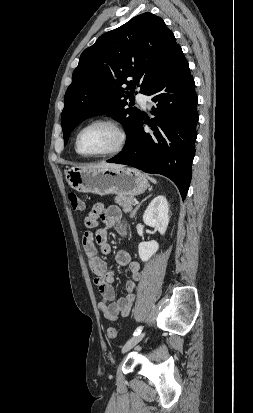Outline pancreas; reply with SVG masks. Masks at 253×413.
<instances>
[{"label": "pancreas", "mask_w": 253, "mask_h": 413, "mask_svg": "<svg viewBox=\"0 0 253 413\" xmlns=\"http://www.w3.org/2000/svg\"><path fill=\"white\" fill-rule=\"evenodd\" d=\"M135 198L133 196L118 195L115 197V203L123 208L125 213L131 212V217L133 215L132 205Z\"/></svg>", "instance_id": "pancreas-1"}]
</instances>
